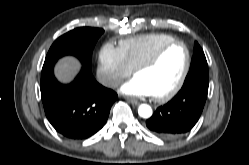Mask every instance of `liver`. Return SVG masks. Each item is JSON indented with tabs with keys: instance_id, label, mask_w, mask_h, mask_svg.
Returning <instances> with one entry per match:
<instances>
[{
	"instance_id": "liver-1",
	"label": "liver",
	"mask_w": 249,
	"mask_h": 165,
	"mask_svg": "<svg viewBox=\"0 0 249 165\" xmlns=\"http://www.w3.org/2000/svg\"><path fill=\"white\" fill-rule=\"evenodd\" d=\"M81 65L74 57L60 59L55 67V76L62 83H69L77 75Z\"/></svg>"
}]
</instances>
